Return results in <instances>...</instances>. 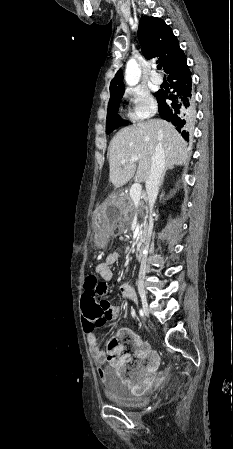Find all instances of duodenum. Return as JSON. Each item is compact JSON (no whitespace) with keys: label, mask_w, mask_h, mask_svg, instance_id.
<instances>
[{"label":"duodenum","mask_w":233,"mask_h":449,"mask_svg":"<svg viewBox=\"0 0 233 449\" xmlns=\"http://www.w3.org/2000/svg\"><path fill=\"white\" fill-rule=\"evenodd\" d=\"M135 256L138 260H142L144 258L143 248H138L135 252Z\"/></svg>","instance_id":"1"}]
</instances>
